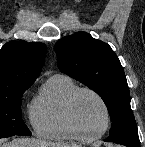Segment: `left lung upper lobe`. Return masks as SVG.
I'll list each match as a JSON object with an SVG mask.
<instances>
[{
  "label": "left lung upper lobe",
  "mask_w": 145,
  "mask_h": 147,
  "mask_svg": "<svg viewBox=\"0 0 145 147\" xmlns=\"http://www.w3.org/2000/svg\"><path fill=\"white\" fill-rule=\"evenodd\" d=\"M55 51L60 71L94 90L106 104L112 127L105 141L140 147L124 69L111 47L78 32L60 39Z\"/></svg>",
  "instance_id": "obj_1"
}]
</instances>
